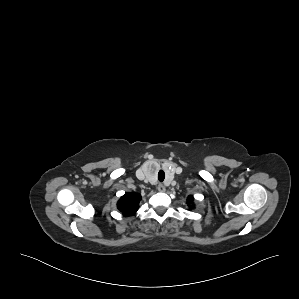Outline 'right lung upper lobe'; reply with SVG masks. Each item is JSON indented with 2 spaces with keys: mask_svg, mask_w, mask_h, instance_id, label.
<instances>
[{
  "mask_svg": "<svg viewBox=\"0 0 299 299\" xmlns=\"http://www.w3.org/2000/svg\"><path fill=\"white\" fill-rule=\"evenodd\" d=\"M140 200V194L126 193L120 198L117 207L124 215L130 216L138 210Z\"/></svg>",
  "mask_w": 299,
  "mask_h": 299,
  "instance_id": "1",
  "label": "right lung upper lobe"
}]
</instances>
